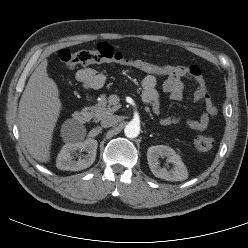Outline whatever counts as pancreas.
Returning <instances> with one entry per match:
<instances>
[{"mask_svg": "<svg viewBox=\"0 0 248 248\" xmlns=\"http://www.w3.org/2000/svg\"><path fill=\"white\" fill-rule=\"evenodd\" d=\"M119 108L120 105L112 106L111 104H108L106 96L102 95L100 101L95 106L89 108V110L92 112V115L95 120H100L103 117L112 115Z\"/></svg>", "mask_w": 248, "mask_h": 248, "instance_id": "1", "label": "pancreas"}]
</instances>
